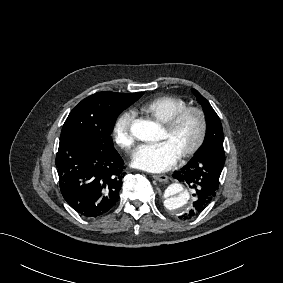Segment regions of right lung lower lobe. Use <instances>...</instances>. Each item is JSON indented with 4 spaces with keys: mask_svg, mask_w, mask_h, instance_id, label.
Returning a JSON list of instances; mask_svg holds the SVG:
<instances>
[{
    "mask_svg": "<svg viewBox=\"0 0 283 283\" xmlns=\"http://www.w3.org/2000/svg\"><path fill=\"white\" fill-rule=\"evenodd\" d=\"M55 164L61 193L81 216H102L117 202L125 167L113 146L83 137L61 139Z\"/></svg>",
    "mask_w": 283,
    "mask_h": 283,
    "instance_id": "right-lung-lower-lobe-1",
    "label": "right lung lower lobe"
}]
</instances>
